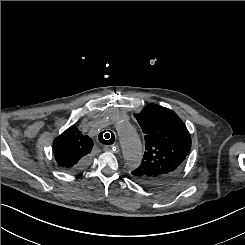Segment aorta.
Returning <instances> with one entry per match:
<instances>
[{
  "instance_id": "obj_1",
  "label": "aorta",
  "mask_w": 245,
  "mask_h": 245,
  "mask_svg": "<svg viewBox=\"0 0 245 245\" xmlns=\"http://www.w3.org/2000/svg\"><path fill=\"white\" fill-rule=\"evenodd\" d=\"M126 164L132 168L139 166L142 159V144L134 126L121 121L116 127Z\"/></svg>"
}]
</instances>
